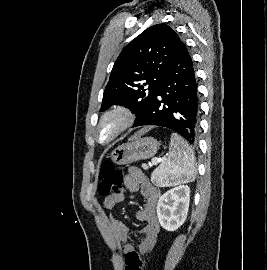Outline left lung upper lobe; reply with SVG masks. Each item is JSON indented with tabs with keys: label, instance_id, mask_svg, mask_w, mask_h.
<instances>
[{
	"label": "left lung upper lobe",
	"instance_id": "5c2ea615",
	"mask_svg": "<svg viewBox=\"0 0 267 270\" xmlns=\"http://www.w3.org/2000/svg\"><path fill=\"white\" fill-rule=\"evenodd\" d=\"M180 44L166 24L153 25L132 40L113 66L100 111L124 105L136 114L135 126L151 105Z\"/></svg>",
	"mask_w": 267,
	"mask_h": 270
}]
</instances>
